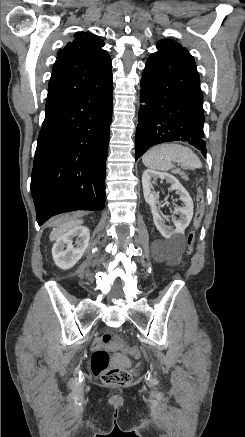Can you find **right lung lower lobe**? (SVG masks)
<instances>
[{"mask_svg": "<svg viewBox=\"0 0 245 437\" xmlns=\"http://www.w3.org/2000/svg\"><path fill=\"white\" fill-rule=\"evenodd\" d=\"M112 78L83 95L46 105L33 163L37 222L105 206V170L112 119Z\"/></svg>", "mask_w": 245, "mask_h": 437, "instance_id": "98d812e1", "label": "right lung lower lobe"}]
</instances>
